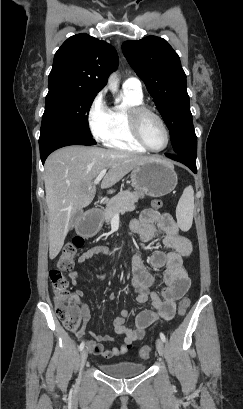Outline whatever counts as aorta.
Listing matches in <instances>:
<instances>
[{"label":"aorta","instance_id":"762f6f07","mask_svg":"<svg viewBox=\"0 0 243 409\" xmlns=\"http://www.w3.org/2000/svg\"><path fill=\"white\" fill-rule=\"evenodd\" d=\"M108 87L110 89V91L113 94H116L119 88V78H118V73L114 72L110 75L109 79H108ZM120 97H116L115 98V103H119L120 102Z\"/></svg>","mask_w":243,"mask_h":409}]
</instances>
